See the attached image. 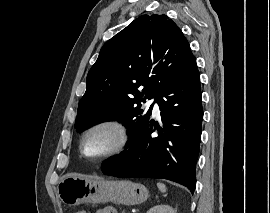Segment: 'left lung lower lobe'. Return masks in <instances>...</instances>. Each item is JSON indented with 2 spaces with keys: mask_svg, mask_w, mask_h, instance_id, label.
<instances>
[{
  "mask_svg": "<svg viewBox=\"0 0 270 213\" xmlns=\"http://www.w3.org/2000/svg\"><path fill=\"white\" fill-rule=\"evenodd\" d=\"M163 128L151 137L149 121L127 149L103 163L102 172L115 177L163 178L196 187V162L203 119L200 75L196 63L176 77L156 97Z\"/></svg>",
  "mask_w": 270,
  "mask_h": 213,
  "instance_id": "left-lung-lower-lobe-1",
  "label": "left lung lower lobe"
}]
</instances>
